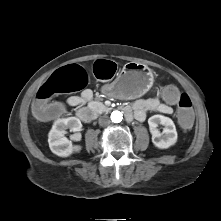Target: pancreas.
<instances>
[{
    "mask_svg": "<svg viewBox=\"0 0 221 221\" xmlns=\"http://www.w3.org/2000/svg\"><path fill=\"white\" fill-rule=\"evenodd\" d=\"M89 107L92 109V111L96 112V113H100L105 111L107 108L106 106L98 101H92L89 103Z\"/></svg>",
    "mask_w": 221,
    "mask_h": 221,
    "instance_id": "cf45deb5",
    "label": "pancreas"
}]
</instances>
